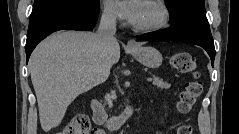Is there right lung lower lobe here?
Returning a JSON list of instances; mask_svg holds the SVG:
<instances>
[{"instance_id":"98d812e1","label":"right lung lower lobe","mask_w":239,"mask_h":134,"mask_svg":"<svg viewBox=\"0 0 239 134\" xmlns=\"http://www.w3.org/2000/svg\"><path fill=\"white\" fill-rule=\"evenodd\" d=\"M99 15V5L59 2L31 14L26 41L27 61L36 45L49 34L62 30H92Z\"/></svg>"}]
</instances>
